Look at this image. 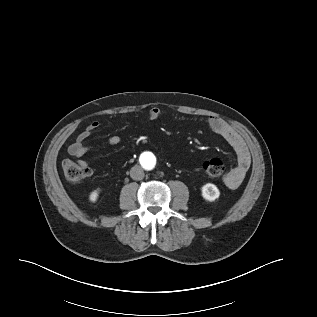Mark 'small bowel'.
Masks as SVG:
<instances>
[{
  "label": "small bowel",
  "instance_id": "small-bowel-1",
  "mask_svg": "<svg viewBox=\"0 0 317 317\" xmlns=\"http://www.w3.org/2000/svg\"><path fill=\"white\" fill-rule=\"evenodd\" d=\"M162 110L154 107L149 112L151 120H157L161 117ZM208 127L223 138L235 151L237 156V165L224 177L225 185L230 189H235L242 183L251 164L249 152L245 146L242 137L223 119L217 116H209L206 119ZM100 127V123L94 121L90 123L76 138V140L68 147V153L77 159L78 163L87 165L83 157L91 149L86 145L87 139L96 132ZM121 138L117 135L109 136L106 140L108 145L115 146L119 144Z\"/></svg>",
  "mask_w": 317,
  "mask_h": 317
}]
</instances>
